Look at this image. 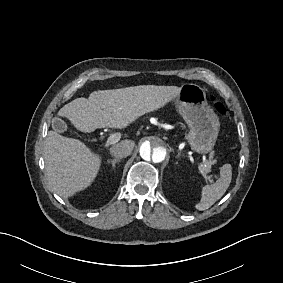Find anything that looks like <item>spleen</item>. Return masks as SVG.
Segmentation results:
<instances>
[{
    "label": "spleen",
    "mask_w": 283,
    "mask_h": 283,
    "mask_svg": "<svg viewBox=\"0 0 283 283\" xmlns=\"http://www.w3.org/2000/svg\"><path fill=\"white\" fill-rule=\"evenodd\" d=\"M232 179V167L225 164L220 169L219 178L212 185L202 187L200 202L195 205V209L204 211L210 208L219 200L228 189Z\"/></svg>",
    "instance_id": "3e777b00"
}]
</instances>
